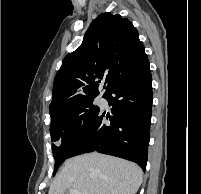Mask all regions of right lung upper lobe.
<instances>
[{
    "label": "right lung upper lobe",
    "instance_id": "obj_1",
    "mask_svg": "<svg viewBox=\"0 0 201 194\" xmlns=\"http://www.w3.org/2000/svg\"><path fill=\"white\" fill-rule=\"evenodd\" d=\"M146 57L133 24L119 14H100L90 25L80 47L63 60L53 84L51 118L76 103L99 94L100 80L106 91L132 72Z\"/></svg>",
    "mask_w": 201,
    "mask_h": 194
}]
</instances>
